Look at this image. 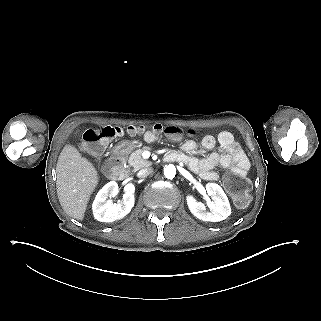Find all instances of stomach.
<instances>
[{
    "label": "stomach",
    "mask_w": 321,
    "mask_h": 321,
    "mask_svg": "<svg viewBox=\"0 0 321 321\" xmlns=\"http://www.w3.org/2000/svg\"><path fill=\"white\" fill-rule=\"evenodd\" d=\"M123 142L118 143V146L121 145ZM125 147H127L129 144L127 142H124Z\"/></svg>",
    "instance_id": "obj_1"
}]
</instances>
